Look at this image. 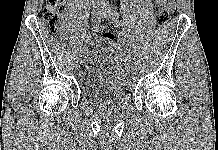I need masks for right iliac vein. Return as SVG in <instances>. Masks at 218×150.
Here are the masks:
<instances>
[{
    "mask_svg": "<svg viewBox=\"0 0 218 150\" xmlns=\"http://www.w3.org/2000/svg\"><path fill=\"white\" fill-rule=\"evenodd\" d=\"M101 10L99 7H95L92 11V16H98L100 17L101 16ZM84 53H85V50L84 49H81L80 52H79V57H84Z\"/></svg>",
    "mask_w": 218,
    "mask_h": 150,
    "instance_id": "63e3f726",
    "label": "right iliac vein"
}]
</instances>
